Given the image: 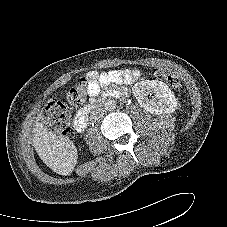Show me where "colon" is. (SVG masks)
Here are the masks:
<instances>
[{"instance_id":"colon-1","label":"colon","mask_w":227,"mask_h":227,"mask_svg":"<svg viewBox=\"0 0 227 227\" xmlns=\"http://www.w3.org/2000/svg\"><path fill=\"white\" fill-rule=\"evenodd\" d=\"M157 78L164 80L173 90H179L181 83L179 78L163 68H155ZM88 95V80L81 78L68 91L67 98L73 104L82 103ZM43 120L56 134L72 138L73 132L69 126V115L65 104L56 98H52L45 105L42 112Z\"/></svg>"}]
</instances>
